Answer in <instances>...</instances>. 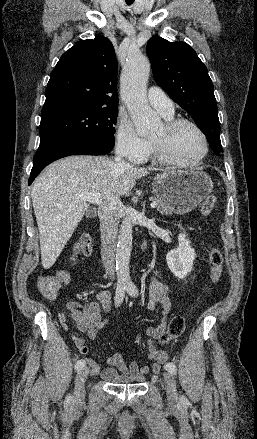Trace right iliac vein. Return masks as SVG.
Masks as SVG:
<instances>
[{
  "label": "right iliac vein",
  "mask_w": 257,
  "mask_h": 439,
  "mask_svg": "<svg viewBox=\"0 0 257 439\" xmlns=\"http://www.w3.org/2000/svg\"><path fill=\"white\" fill-rule=\"evenodd\" d=\"M88 374H89L88 367H83L78 371V374L76 376V383H75V398L77 400H82L85 397L84 384L88 377Z\"/></svg>",
  "instance_id": "right-iliac-vein-1"
}]
</instances>
